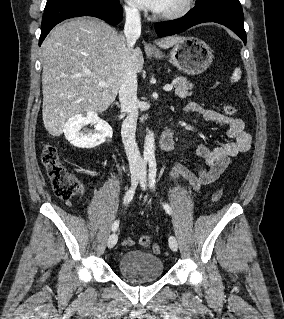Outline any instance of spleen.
Instances as JSON below:
<instances>
[{"label":"spleen","instance_id":"3e777b00","mask_svg":"<svg viewBox=\"0 0 284 319\" xmlns=\"http://www.w3.org/2000/svg\"><path fill=\"white\" fill-rule=\"evenodd\" d=\"M241 77V70L240 68H236L231 76V81L232 82H237Z\"/></svg>","mask_w":284,"mask_h":319}]
</instances>
